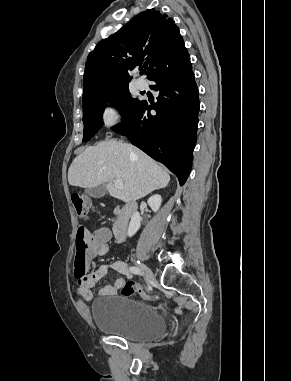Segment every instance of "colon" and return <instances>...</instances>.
<instances>
[{
    "instance_id": "colon-1",
    "label": "colon",
    "mask_w": 291,
    "mask_h": 381,
    "mask_svg": "<svg viewBox=\"0 0 291 381\" xmlns=\"http://www.w3.org/2000/svg\"><path fill=\"white\" fill-rule=\"evenodd\" d=\"M72 203L79 218L86 220L90 216L91 205L86 197L76 195L72 197ZM88 251V231L84 227H79L76 236V257L75 261L80 270L85 271L87 265ZM120 292L124 296L140 294L143 297L156 299L155 295L147 294L135 282L127 281L121 285Z\"/></svg>"
}]
</instances>
